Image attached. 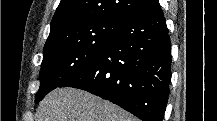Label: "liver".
Here are the masks:
<instances>
[{
	"mask_svg": "<svg viewBox=\"0 0 217 121\" xmlns=\"http://www.w3.org/2000/svg\"><path fill=\"white\" fill-rule=\"evenodd\" d=\"M36 121H137L119 106L86 91L58 88L39 104Z\"/></svg>",
	"mask_w": 217,
	"mask_h": 121,
	"instance_id": "obj_1",
	"label": "liver"
}]
</instances>
